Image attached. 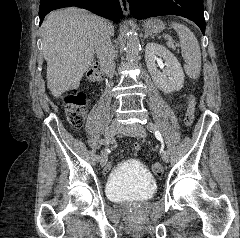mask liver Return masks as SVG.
Returning a JSON list of instances; mask_svg holds the SVG:
<instances>
[{
    "label": "liver",
    "mask_w": 240,
    "mask_h": 238,
    "mask_svg": "<svg viewBox=\"0 0 240 238\" xmlns=\"http://www.w3.org/2000/svg\"><path fill=\"white\" fill-rule=\"evenodd\" d=\"M100 21L108 25L113 35L114 28L109 22L77 8L53 11L42 23L47 87L54 97L79 87L94 60V40Z\"/></svg>",
    "instance_id": "obj_1"
}]
</instances>
